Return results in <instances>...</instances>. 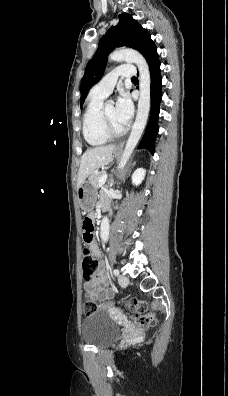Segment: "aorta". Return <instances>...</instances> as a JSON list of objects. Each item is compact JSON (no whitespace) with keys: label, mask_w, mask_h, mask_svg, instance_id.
<instances>
[{"label":"aorta","mask_w":228,"mask_h":396,"mask_svg":"<svg viewBox=\"0 0 228 396\" xmlns=\"http://www.w3.org/2000/svg\"><path fill=\"white\" fill-rule=\"evenodd\" d=\"M109 59L114 62H129L134 63L139 70V90L140 96L138 101L136 120L133 125L131 134L127 140L122 158L119 162L118 168L123 169L130 158L134 148L136 147L147 123L150 111V93H151V78L148 64L145 58L136 50L121 49L114 51ZM109 220L104 217L101 222L100 236L103 242L109 239Z\"/></svg>","instance_id":"aorta-1"}]
</instances>
